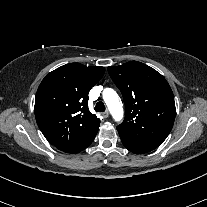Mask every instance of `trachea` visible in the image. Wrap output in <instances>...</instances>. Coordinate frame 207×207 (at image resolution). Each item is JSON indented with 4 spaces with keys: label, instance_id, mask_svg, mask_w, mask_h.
<instances>
[{
    "label": "trachea",
    "instance_id": "1",
    "mask_svg": "<svg viewBox=\"0 0 207 207\" xmlns=\"http://www.w3.org/2000/svg\"><path fill=\"white\" fill-rule=\"evenodd\" d=\"M95 111L96 112H104L105 111V105L103 104V102H98L95 106Z\"/></svg>",
    "mask_w": 207,
    "mask_h": 207
}]
</instances>
